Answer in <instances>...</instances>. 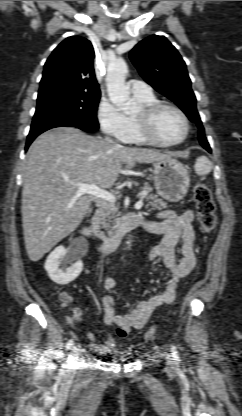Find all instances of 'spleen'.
<instances>
[{
	"label": "spleen",
	"instance_id": "obj_1",
	"mask_svg": "<svg viewBox=\"0 0 242 416\" xmlns=\"http://www.w3.org/2000/svg\"><path fill=\"white\" fill-rule=\"evenodd\" d=\"M213 168L212 162L206 156H200L197 158L194 169L196 174L200 176L207 175Z\"/></svg>",
	"mask_w": 242,
	"mask_h": 416
}]
</instances>
